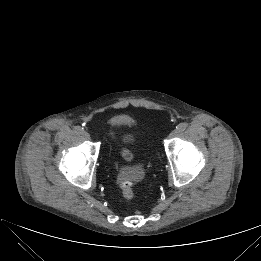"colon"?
<instances>
[{
    "mask_svg": "<svg viewBox=\"0 0 261 261\" xmlns=\"http://www.w3.org/2000/svg\"><path fill=\"white\" fill-rule=\"evenodd\" d=\"M119 187L124 199L132 200L134 198L133 182L129 177L121 176L119 178Z\"/></svg>",
    "mask_w": 261,
    "mask_h": 261,
    "instance_id": "5ec220e1",
    "label": "colon"
}]
</instances>
